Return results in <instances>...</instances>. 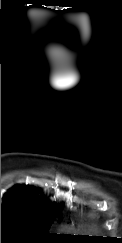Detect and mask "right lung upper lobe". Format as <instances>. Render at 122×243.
Masks as SVG:
<instances>
[{"instance_id": "obj_1", "label": "right lung upper lobe", "mask_w": 122, "mask_h": 243, "mask_svg": "<svg viewBox=\"0 0 122 243\" xmlns=\"http://www.w3.org/2000/svg\"><path fill=\"white\" fill-rule=\"evenodd\" d=\"M3 199L6 201H20L38 208L57 207V205L45 201L34 188L27 185L14 186L4 195Z\"/></svg>"}]
</instances>
